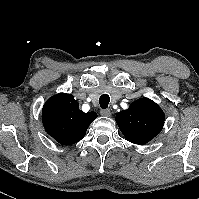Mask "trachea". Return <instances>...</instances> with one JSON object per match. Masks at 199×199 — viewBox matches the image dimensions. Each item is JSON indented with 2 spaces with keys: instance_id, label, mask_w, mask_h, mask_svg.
Returning a JSON list of instances; mask_svg holds the SVG:
<instances>
[{
  "instance_id": "obj_1",
  "label": "trachea",
  "mask_w": 199,
  "mask_h": 199,
  "mask_svg": "<svg viewBox=\"0 0 199 199\" xmlns=\"http://www.w3.org/2000/svg\"><path fill=\"white\" fill-rule=\"evenodd\" d=\"M110 97L107 94H102L99 98L100 107L106 109L108 107Z\"/></svg>"
}]
</instances>
